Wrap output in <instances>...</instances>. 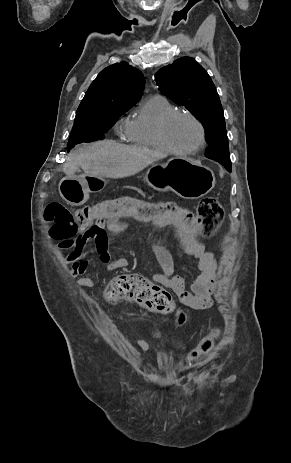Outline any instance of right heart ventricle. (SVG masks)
Listing matches in <instances>:
<instances>
[{"instance_id":"obj_1","label":"right heart ventricle","mask_w":291,"mask_h":463,"mask_svg":"<svg viewBox=\"0 0 291 463\" xmlns=\"http://www.w3.org/2000/svg\"><path fill=\"white\" fill-rule=\"evenodd\" d=\"M174 110L175 107L163 96L146 98L127 122L128 140L138 146L163 151L157 128L162 118Z\"/></svg>"}]
</instances>
